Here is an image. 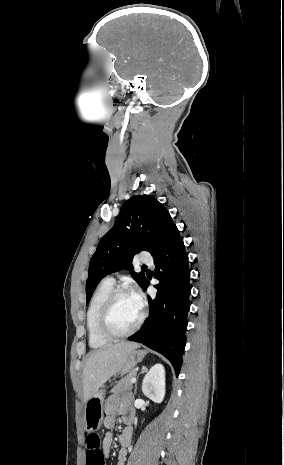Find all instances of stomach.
<instances>
[{
    "label": "stomach",
    "mask_w": 284,
    "mask_h": 465,
    "mask_svg": "<svg viewBox=\"0 0 284 465\" xmlns=\"http://www.w3.org/2000/svg\"><path fill=\"white\" fill-rule=\"evenodd\" d=\"M146 355V351H130L127 355L126 363H124L121 373H130L136 367L137 363H141ZM105 389H99L94 393L86 403H84V427L87 433H95L102 425L103 409L105 401Z\"/></svg>",
    "instance_id": "obj_1"
}]
</instances>
